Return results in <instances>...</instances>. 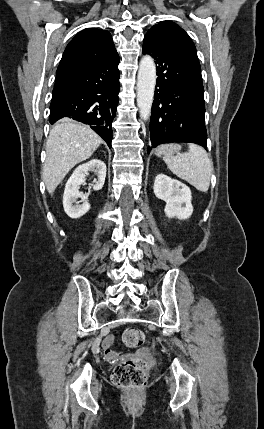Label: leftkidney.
Listing matches in <instances>:
<instances>
[{"instance_id": "obj_1", "label": "left kidney", "mask_w": 264, "mask_h": 429, "mask_svg": "<svg viewBox=\"0 0 264 429\" xmlns=\"http://www.w3.org/2000/svg\"><path fill=\"white\" fill-rule=\"evenodd\" d=\"M153 190L158 199L166 202L164 212L168 218L176 217L179 220L190 218L193 206L191 190L188 186L164 174H159L155 178Z\"/></svg>"}]
</instances>
